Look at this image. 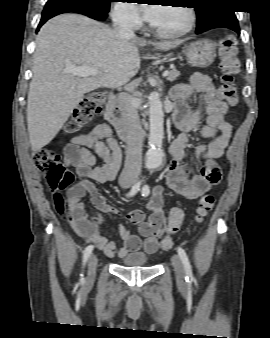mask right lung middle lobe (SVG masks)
<instances>
[{
    "mask_svg": "<svg viewBox=\"0 0 270 338\" xmlns=\"http://www.w3.org/2000/svg\"><path fill=\"white\" fill-rule=\"evenodd\" d=\"M114 0H48L45 7H85L97 11L108 12Z\"/></svg>",
    "mask_w": 270,
    "mask_h": 338,
    "instance_id": "right-lung-middle-lobe-1",
    "label": "right lung middle lobe"
}]
</instances>
